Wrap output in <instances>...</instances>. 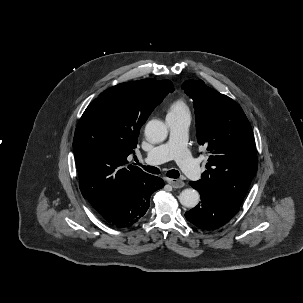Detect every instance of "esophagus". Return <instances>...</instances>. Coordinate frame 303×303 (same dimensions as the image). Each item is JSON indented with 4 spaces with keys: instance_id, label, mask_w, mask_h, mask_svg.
<instances>
[{
    "instance_id": "1",
    "label": "esophagus",
    "mask_w": 303,
    "mask_h": 303,
    "mask_svg": "<svg viewBox=\"0 0 303 303\" xmlns=\"http://www.w3.org/2000/svg\"><path fill=\"white\" fill-rule=\"evenodd\" d=\"M167 182L175 189L185 186V183L180 179H167Z\"/></svg>"
}]
</instances>
